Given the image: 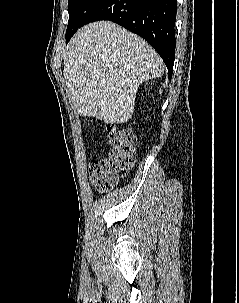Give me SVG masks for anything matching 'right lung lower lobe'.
<instances>
[{
	"instance_id": "1",
	"label": "right lung lower lobe",
	"mask_w": 239,
	"mask_h": 303,
	"mask_svg": "<svg viewBox=\"0 0 239 303\" xmlns=\"http://www.w3.org/2000/svg\"><path fill=\"white\" fill-rule=\"evenodd\" d=\"M176 0H105L86 19L113 21L144 38L161 56L171 79L175 59Z\"/></svg>"
}]
</instances>
